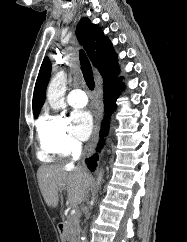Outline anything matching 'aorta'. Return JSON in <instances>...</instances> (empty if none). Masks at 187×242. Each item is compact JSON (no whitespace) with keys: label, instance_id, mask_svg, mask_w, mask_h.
I'll list each match as a JSON object with an SVG mask.
<instances>
[{"label":"aorta","instance_id":"aorta-1","mask_svg":"<svg viewBox=\"0 0 187 242\" xmlns=\"http://www.w3.org/2000/svg\"><path fill=\"white\" fill-rule=\"evenodd\" d=\"M67 74L63 71L58 72L50 81L47 88V100L51 108L60 109L64 105V93L66 91ZM102 174H99L98 185L100 184ZM85 240V239H83Z\"/></svg>","mask_w":187,"mask_h":242}]
</instances>
